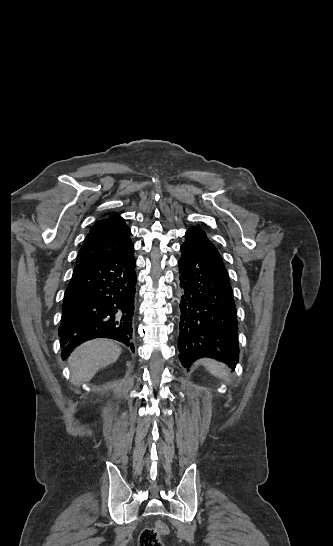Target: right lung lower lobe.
I'll return each mask as SVG.
<instances>
[{
    "label": "right lung lower lobe",
    "instance_id": "1",
    "mask_svg": "<svg viewBox=\"0 0 333 546\" xmlns=\"http://www.w3.org/2000/svg\"><path fill=\"white\" fill-rule=\"evenodd\" d=\"M133 244L114 256L75 266L59 327L62 357L85 341L105 337L131 347L135 303Z\"/></svg>",
    "mask_w": 333,
    "mask_h": 546
}]
</instances>
